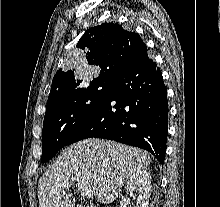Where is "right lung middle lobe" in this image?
Here are the masks:
<instances>
[{
  "mask_svg": "<svg viewBox=\"0 0 220 207\" xmlns=\"http://www.w3.org/2000/svg\"><path fill=\"white\" fill-rule=\"evenodd\" d=\"M108 84L89 85L64 94L46 107L42 132V162L69 144L71 135L102 104Z\"/></svg>",
  "mask_w": 220,
  "mask_h": 207,
  "instance_id": "dd1d6c3e",
  "label": "right lung middle lobe"
}]
</instances>
